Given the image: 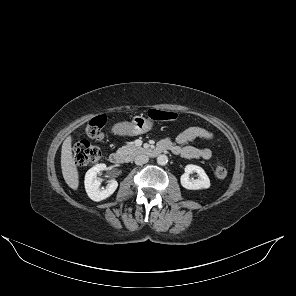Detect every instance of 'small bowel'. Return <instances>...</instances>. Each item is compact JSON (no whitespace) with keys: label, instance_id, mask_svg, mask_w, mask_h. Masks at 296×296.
I'll return each instance as SVG.
<instances>
[{"label":"small bowel","instance_id":"obj_1","mask_svg":"<svg viewBox=\"0 0 296 296\" xmlns=\"http://www.w3.org/2000/svg\"><path fill=\"white\" fill-rule=\"evenodd\" d=\"M212 138L213 133L209 130L199 126H192L180 132L175 141L165 138L160 141V145L167 147L168 151L173 154L187 159L210 160L213 157V152L210 149L197 148L187 144L195 139L211 140Z\"/></svg>","mask_w":296,"mask_h":296}]
</instances>
